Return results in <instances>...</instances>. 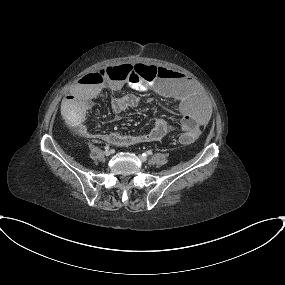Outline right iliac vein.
Instances as JSON below:
<instances>
[{
    "label": "right iliac vein",
    "mask_w": 285,
    "mask_h": 285,
    "mask_svg": "<svg viewBox=\"0 0 285 285\" xmlns=\"http://www.w3.org/2000/svg\"><path fill=\"white\" fill-rule=\"evenodd\" d=\"M104 154H105L106 156H109V155H111V151H110V150H106V151L104 152Z\"/></svg>",
    "instance_id": "obj_1"
}]
</instances>
